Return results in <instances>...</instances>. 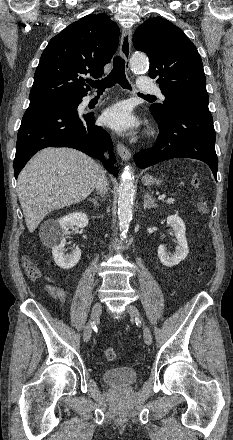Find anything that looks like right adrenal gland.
Masks as SVG:
<instances>
[{
	"label": "right adrenal gland",
	"mask_w": 233,
	"mask_h": 440,
	"mask_svg": "<svg viewBox=\"0 0 233 440\" xmlns=\"http://www.w3.org/2000/svg\"><path fill=\"white\" fill-rule=\"evenodd\" d=\"M89 201H91L95 206H99V203H98V200H97V198L95 197V198H89Z\"/></svg>",
	"instance_id": "1"
}]
</instances>
